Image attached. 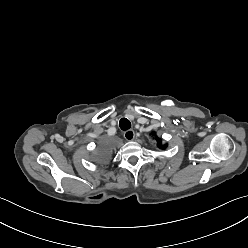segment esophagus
Segmentation results:
<instances>
[{
	"mask_svg": "<svg viewBox=\"0 0 248 248\" xmlns=\"http://www.w3.org/2000/svg\"><path fill=\"white\" fill-rule=\"evenodd\" d=\"M124 138L127 140V141H132L134 140L135 138V132L133 130H127L125 133H124Z\"/></svg>",
	"mask_w": 248,
	"mask_h": 248,
	"instance_id": "1",
	"label": "esophagus"
}]
</instances>
